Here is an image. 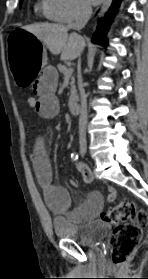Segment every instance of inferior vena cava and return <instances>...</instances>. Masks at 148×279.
<instances>
[{
	"label": "inferior vena cava",
	"mask_w": 148,
	"mask_h": 279,
	"mask_svg": "<svg viewBox=\"0 0 148 279\" xmlns=\"http://www.w3.org/2000/svg\"><path fill=\"white\" fill-rule=\"evenodd\" d=\"M92 15V8L88 5H80L77 9V14L74 23L69 25V28L80 31L85 27ZM81 63L78 61L79 87L81 93V110L79 116V142L80 147H86V125H87V96L83 88L81 79Z\"/></svg>",
	"instance_id": "obj_1"
}]
</instances>
